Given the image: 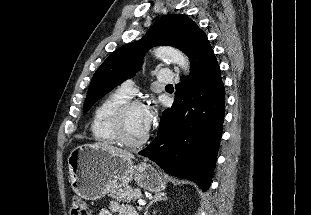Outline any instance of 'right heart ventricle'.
Listing matches in <instances>:
<instances>
[{"label": "right heart ventricle", "mask_w": 311, "mask_h": 215, "mask_svg": "<svg viewBox=\"0 0 311 215\" xmlns=\"http://www.w3.org/2000/svg\"><path fill=\"white\" fill-rule=\"evenodd\" d=\"M129 99L130 97L116 90L96 106L91 121V133L96 141L104 144L118 143L112 127V116L114 111Z\"/></svg>", "instance_id": "obj_1"}]
</instances>
